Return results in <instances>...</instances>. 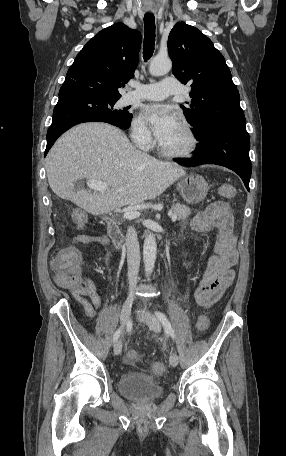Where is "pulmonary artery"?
I'll return each instance as SVG.
<instances>
[{
	"label": "pulmonary artery",
	"mask_w": 286,
	"mask_h": 456,
	"mask_svg": "<svg viewBox=\"0 0 286 456\" xmlns=\"http://www.w3.org/2000/svg\"><path fill=\"white\" fill-rule=\"evenodd\" d=\"M125 101L132 103L136 101L163 100L179 92L178 81L175 77H165L159 83L135 85Z\"/></svg>",
	"instance_id": "e3ab8cb5"
}]
</instances>
